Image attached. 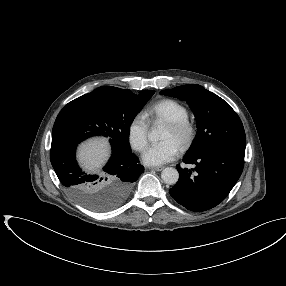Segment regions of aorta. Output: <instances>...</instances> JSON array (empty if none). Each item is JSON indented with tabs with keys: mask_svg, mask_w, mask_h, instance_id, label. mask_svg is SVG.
Wrapping results in <instances>:
<instances>
[{
	"mask_svg": "<svg viewBox=\"0 0 286 286\" xmlns=\"http://www.w3.org/2000/svg\"><path fill=\"white\" fill-rule=\"evenodd\" d=\"M160 128H153L152 131L149 133V139L151 141H157L160 138ZM161 178L164 183L173 185L176 184L179 179V173L177 169L173 167L165 168L161 173Z\"/></svg>",
	"mask_w": 286,
	"mask_h": 286,
	"instance_id": "1",
	"label": "aorta"
}]
</instances>
